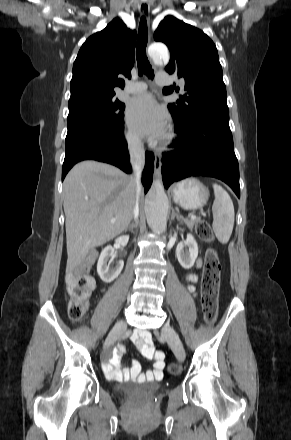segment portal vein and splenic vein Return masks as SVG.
<instances>
[{
	"label": "portal vein and splenic vein",
	"instance_id": "18ae733b",
	"mask_svg": "<svg viewBox=\"0 0 291 440\" xmlns=\"http://www.w3.org/2000/svg\"><path fill=\"white\" fill-rule=\"evenodd\" d=\"M191 219H196L195 215H191ZM112 223H114V220L111 221Z\"/></svg>",
	"mask_w": 291,
	"mask_h": 440
}]
</instances>
